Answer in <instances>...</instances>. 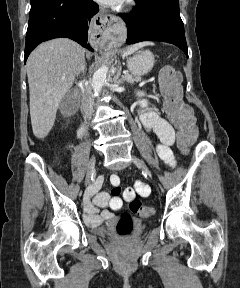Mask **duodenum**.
<instances>
[{
  "label": "duodenum",
  "instance_id": "obj_1",
  "mask_svg": "<svg viewBox=\"0 0 240 288\" xmlns=\"http://www.w3.org/2000/svg\"><path fill=\"white\" fill-rule=\"evenodd\" d=\"M83 132H84V127H83V126H81V128H80V130H79V134H80V135H82V134H83Z\"/></svg>",
  "mask_w": 240,
  "mask_h": 288
}]
</instances>
